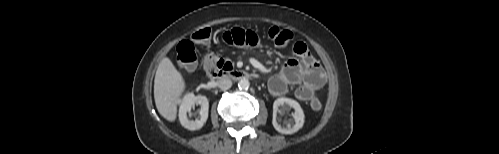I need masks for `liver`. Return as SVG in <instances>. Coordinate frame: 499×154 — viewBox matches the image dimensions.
Listing matches in <instances>:
<instances>
[{
	"label": "liver",
	"instance_id": "6515ba94",
	"mask_svg": "<svg viewBox=\"0 0 499 154\" xmlns=\"http://www.w3.org/2000/svg\"><path fill=\"white\" fill-rule=\"evenodd\" d=\"M186 88L182 74L169 58H164L156 71L154 80V99L158 112L168 121L177 117V105Z\"/></svg>",
	"mask_w": 499,
	"mask_h": 154
}]
</instances>
